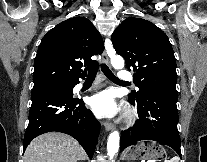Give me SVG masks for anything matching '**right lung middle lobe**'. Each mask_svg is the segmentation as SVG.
Returning <instances> with one entry per match:
<instances>
[{"instance_id":"obj_1","label":"right lung middle lobe","mask_w":207,"mask_h":162,"mask_svg":"<svg viewBox=\"0 0 207 162\" xmlns=\"http://www.w3.org/2000/svg\"><path fill=\"white\" fill-rule=\"evenodd\" d=\"M49 88H60L64 91L72 92V87L68 84H55V85H49V86H44V87H40V88H33L32 92L44 90V89H49Z\"/></svg>"}]
</instances>
